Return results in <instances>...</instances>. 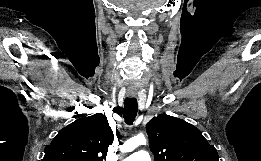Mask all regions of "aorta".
Returning <instances> with one entry per match:
<instances>
[{
    "mask_svg": "<svg viewBox=\"0 0 261 161\" xmlns=\"http://www.w3.org/2000/svg\"><path fill=\"white\" fill-rule=\"evenodd\" d=\"M146 144V138L144 135H137L128 141H126L121 147L120 150L123 153L131 152L134 149H136L139 145H145Z\"/></svg>",
    "mask_w": 261,
    "mask_h": 161,
    "instance_id": "obj_1",
    "label": "aorta"
}]
</instances>
